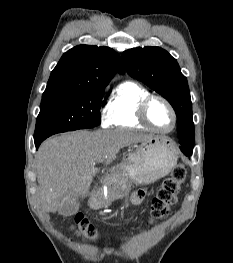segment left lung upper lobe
I'll return each mask as SVG.
<instances>
[{
  "label": "left lung upper lobe",
  "mask_w": 233,
  "mask_h": 263,
  "mask_svg": "<svg viewBox=\"0 0 233 263\" xmlns=\"http://www.w3.org/2000/svg\"><path fill=\"white\" fill-rule=\"evenodd\" d=\"M127 73L158 92L177 115L179 141L194 146L192 103L186 77L177 61L160 47L133 48L122 53Z\"/></svg>",
  "instance_id": "left-lung-upper-lobe-1"
}]
</instances>
